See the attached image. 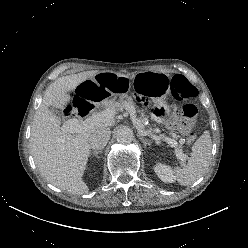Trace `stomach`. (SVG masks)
<instances>
[{"mask_svg":"<svg viewBox=\"0 0 248 248\" xmlns=\"http://www.w3.org/2000/svg\"><path fill=\"white\" fill-rule=\"evenodd\" d=\"M133 83L154 100L150 111L151 118L157 123H165L171 110L165 101L169 93V76L162 72L141 71L133 75L112 71L99 72L90 81L75 89L74 98L80 104H89L109 95L126 96Z\"/></svg>","mask_w":248,"mask_h":248,"instance_id":"0dacf381","label":"stomach"}]
</instances>
